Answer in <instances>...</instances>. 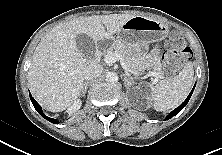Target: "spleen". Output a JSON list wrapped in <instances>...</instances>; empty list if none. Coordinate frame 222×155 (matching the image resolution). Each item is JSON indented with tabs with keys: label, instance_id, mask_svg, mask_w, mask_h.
<instances>
[{
	"label": "spleen",
	"instance_id": "1",
	"mask_svg": "<svg viewBox=\"0 0 222 155\" xmlns=\"http://www.w3.org/2000/svg\"><path fill=\"white\" fill-rule=\"evenodd\" d=\"M193 76V64L188 62L178 75L161 80L153 86L151 96L155 110L167 111L179 106L190 92Z\"/></svg>",
	"mask_w": 222,
	"mask_h": 155
}]
</instances>
